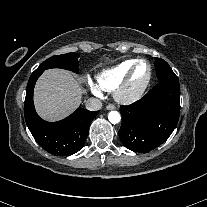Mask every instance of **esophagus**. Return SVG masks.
<instances>
[{
    "mask_svg": "<svg viewBox=\"0 0 207 207\" xmlns=\"http://www.w3.org/2000/svg\"><path fill=\"white\" fill-rule=\"evenodd\" d=\"M106 109L107 110H114L115 109V106L112 105V104H109V105L106 106Z\"/></svg>",
    "mask_w": 207,
    "mask_h": 207,
    "instance_id": "34e87169",
    "label": "esophagus"
}]
</instances>
